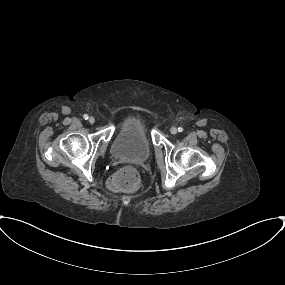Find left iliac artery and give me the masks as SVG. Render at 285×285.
<instances>
[{
    "label": "left iliac artery",
    "instance_id": "left-iliac-artery-1",
    "mask_svg": "<svg viewBox=\"0 0 285 285\" xmlns=\"http://www.w3.org/2000/svg\"><path fill=\"white\" fill-rule=\"evenodd\" d=\"M183 131V128L182 127H179L178 128V132H182Z\"/></svg>",
    "mask_w": 285,
    "mask_h": 285
}]
</instances>
